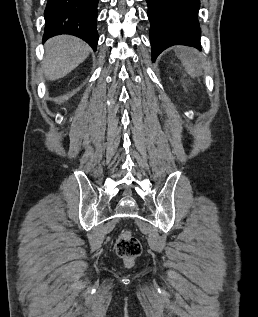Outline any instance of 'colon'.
<instances>
[{"instance_id":"5ec220e1","label":"colon","mask_w":258,"mask_h":317,"mask_svg":"<svg viewBox=\"0 0 258 317\" xmlns=\"http://www.w3.org/2000/svg\"><path fill=\"white\" fill-rule=\"evenodd\" d=\"M115 248L119 257L127 262L134 260L142 251L140 241L128 231L120 234L116 241Z\"/></svg>"}]
</instances>
